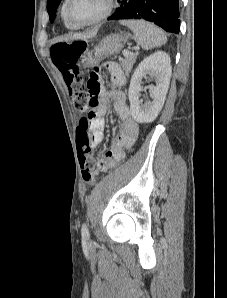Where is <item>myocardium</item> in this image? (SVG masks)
<instances>
[{
	"label": "myocardium",
	"instance_id": "f54148a6",
	"mask_svg": "<svg viewBox=\"0 0 227 298\" xmlns=\"http://www.w3.org/2000/svg\"><path fill=\"white\" fill-rule=\"evenodd\" d=\"M104 2H105L104 9L97 17L87 22L77 23L71 18L69 13V5L71 3V0H65V6H64L65 18L69 22V24L77 28L97 24L102 20L106 19L112 13L115 6V0H105Z\"/></svg>",
	"mask_w": 227,
	"mask_h": 298
}]
</instances>
